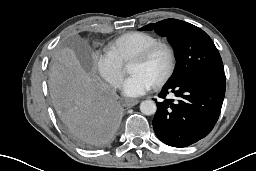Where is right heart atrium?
<instances>
[{"mask_svg":"<svg viewBox=\"0 0 256 171\" xmlns=\"http://www.w3.org/2000/svg\"><path fill=\"white\" fill-rule=\"evenodd\" d=\"M92 66L111 87H119L123 78V64L114 54L108 50L94 53Z\"/></svg>","mask_w":256,"mask_h":171,"instance_id":"d8ad5b80","label":"right heart atrium"}]
</instances>
